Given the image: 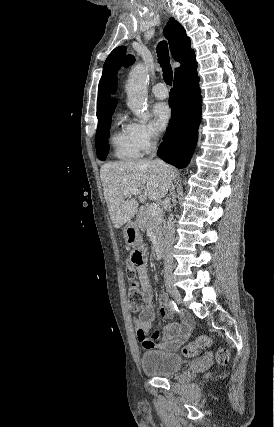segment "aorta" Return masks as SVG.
I'll return each instance as SVG.
<instances>
[{
    "label": "aorta",
    "mask_w": 274,
    "mask_h": 427,
    "mask_svg": "<svg viewBox=\"0 0 274 427\" xmlns=\"http://www.w3.org/2000/svg\"><path fill=\"white\" fill-rule=\"evenodd\" d=\"M148 69L144 64H137L130 72L126 83L128 107L141 120L147 119L144 112L147 103Z\"/></svg>",
    "instance_id": "762f6f07"
}]
</instances>
